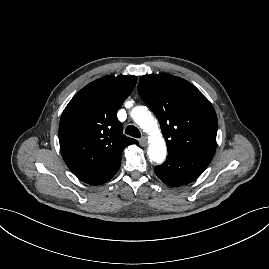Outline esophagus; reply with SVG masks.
Listing matches in <instances>:
<instances>
[{
	"label": "esophagus",
	"instance_id": "1",
	"mask_svg": "<svg viewBox=\"0 0 269 269\" xmlns=\"http://www.w3.org/2000/svg\"><path fill=\"white\" fill-rule=\"evenodd\" d=\"M139 142H140L141 146H146L147 145V137L146 136L141 137Z\"/></svg>",
	"mask_w": 269,
	"mask_h": 269
}]
</instances>
